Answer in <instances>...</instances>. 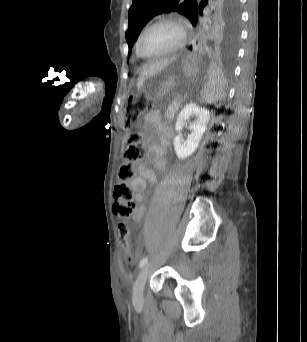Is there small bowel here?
<instances>
[{"instance_id": "c3829d8e", "label": "small bowel", "mask_w": 307, "mask_h": 342, "mask_svg": "<svg viewBox=\"0 0 307 342\" xmlns=\"http://www.w3.org/2000/svg\"><path fill=\"white\" fill-rule=\"evenodd\" d=\"M144 126L146 129H151L154 132L160 144L149 141L147 160L138 163L137 174L129 183L133 192V198L136 202V207L132 215L133 220L136 222L140 221L146 212L145 188L147 182L153 184L157 182V177L149 164H152L160 171L166 172L167 162L165 152L173 136L172 129L160 123L157 115L154 113H149L145 116Z\"/></svg>"}]
</instances>
